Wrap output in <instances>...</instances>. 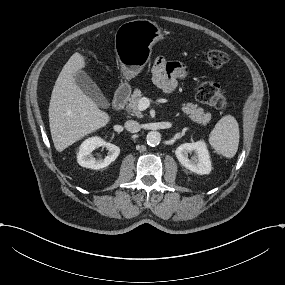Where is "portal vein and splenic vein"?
Masks as SVG:
<instances>
[{"label": "portal vein and splenic vein", "instance_id": "18ae733b", "mask_svg": "<svg viewBox=\"0 0 285 285\" xmlns=\"http://www.w3.org/2000/svg\"><path fill=\"white\" fill-rule=\"evenodd\" d=\"M150 105V100L146 97H142L138 103V109L140 111H143L145 109H147Z\"/></svg>", "mask_w": 285, "mask_h": 285}]
</instances>
